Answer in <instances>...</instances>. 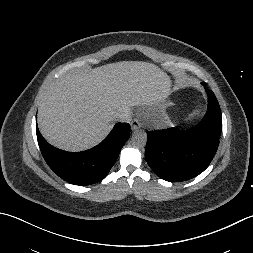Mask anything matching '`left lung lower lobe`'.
Returning <instances> with one entry per match:
<instances>
[{
    "label": "left lung lower lobe",
    "instance_id": "1",
    "mask_svg": "<svg viewBox=\"0 0 253 253\" xmlns=\"http://www.w3.org/2000/svg\"><path fill=\"white\" fill-rule=\"evenodd\" d=\"M205 90L209 107L198 125L189 130L147 131L146 161L155 174L166 181H185L199 175L215 156L222 131V115L214 93Z\"/></svg>",
    "mask_w": 253,
    "mask_h": 253
}]
</instances>
